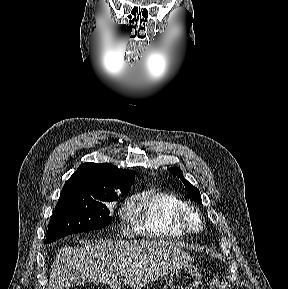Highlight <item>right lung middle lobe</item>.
<instances>
[{
  "mask_svg": "<svg viewBox=\"0 0 288 289\" xmlns=\"http://www.w3.org/2000/svg\"><path fill=\"white\" fill-rule=\"evenodd\" d=\"M118 193L119 191L113 190L91 195L61 193L48 226L45 244L72 233L87 232L107 226L112 219L107 204L117 201Z\"/></svg>",
  "mask_w": 288,
  "mask_h": 289,
  "instance_id": "dd1d6c3e",
  "label": "right lung middle lobe"
}]
</instances>
